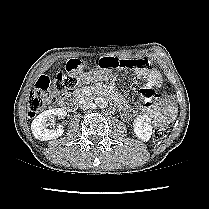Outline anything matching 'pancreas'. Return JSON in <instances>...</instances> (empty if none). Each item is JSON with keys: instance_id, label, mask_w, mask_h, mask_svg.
I'll return each instance as SVG.
<instances>
[{"instance_id": "pancreas-1", "label": "pancreas", "mask_w": 209, "mask_h": 209, "mask_svg": "<svg viewBox=\"0 0 209 209\" xmlns=\"http://www.w3.org/2000/svg\"><path fill=\"white\" fill-rule=\"evenodd\" d=\"M86 93L95 94L99 91L96 86H87L82 89Z\"/></svg>"}]
</instances>
